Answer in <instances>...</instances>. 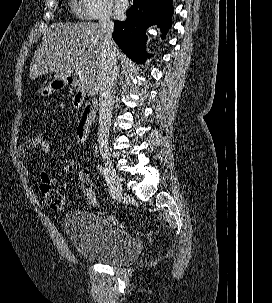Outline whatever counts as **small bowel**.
<instances>
[{
	"label": "small bowel",
	"instance_id": "1",
	"mask_svg": "<svg viewBox=\"0 0 272 303\" xmlns=\"http://www.w3.org/2000/svg\"><path fill=\"white\" fill-rule=\"evenodd\" d=\"M33 144L34 137L28 138L25 143L19 146L18 156L20 158H26L28 154L35 152ZM23 173L26 176H29L30 170L26 166H23ZM36 180L38 183L39 190L44 196L54 190V178L48 171L41 170L37 175Z\"/></svg>",
	"mask_w": 272,
	"mask_h": 303
}]
</instances>
